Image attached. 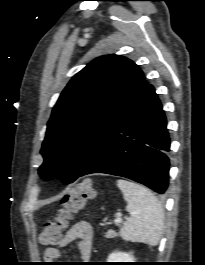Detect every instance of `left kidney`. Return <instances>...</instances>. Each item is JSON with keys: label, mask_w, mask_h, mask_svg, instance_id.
I'll list each match as a JSON object with an SVG mask.
<instances>
[{"label": "left kidney", "mask_w": 205, "mask_h": 265, "mask_svg": "<svg viewBox=\"0 0 205 265\" xmlns=\"http://www.w3.org/2000/svg\"><path fill=\"white\" fill-rule=\"evenodd\" d=\"M108 262H134V257L131 253L113 252L108 256Z\"/></svg>", "instance_id": "obj_1"}]
</instances>
